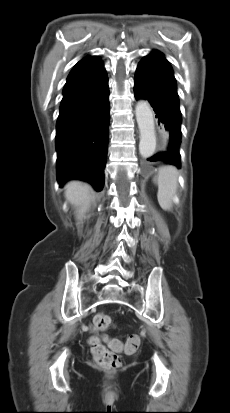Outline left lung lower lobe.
Returning <instances> with one entry per match:
<instances>
[{"mask_svg":"<svg viewBox=\"0 0 230 413\" xmlns=\"http://www.w3.org/2000/svg\"><path fill=\"white\" fill-rule=\"evenodd\" d=\"M134 95L150 102L159 124L169 131L167 150L148 160L165 162L180 168L181 112L176 79L172 67L159 51H153L138 64L134 79Z\"/></svg>","mask_w":230,"mask_h":413,"instance_id":"obj_1","label":"left lung lower lobe"}]
</instances>
